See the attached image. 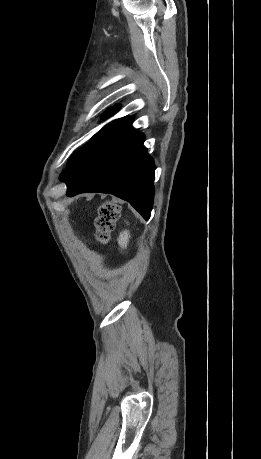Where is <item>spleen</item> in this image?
<instances>
[{"mask_svg": "<svg viewBox=\"0 0 261 459\" xmlns=\"http://www.w3.org/2000/svg\"><path fill=\"white\" fill-rule=\"evenodd\" d=\"M130 239V232L128 230H124L120 233L118 237V244L121 249H126Z\"/></svg>", "mask_w": 261, "mask_h": 459, "instance_id": "3e777b00", "label": "spleen"}]
</instances>
